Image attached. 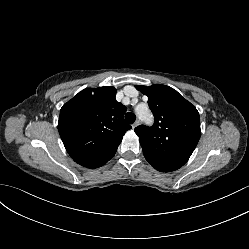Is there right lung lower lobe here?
<instances>
[{
    "mask_svg": "<svg viewBox=\"0 0 249 249\" xmlns=\"http://www.w3.org/2000/svg\"><path fill=\"white\" fill-rule=\"evenodd\" d=\"M114 154H111V155H108V156L103 157L101 159L90 161V162H87V163H84L81 165L84 167H87V168H98V167L104 165L107 161H109L114 156Z\"/></svg>",
    "mask_w": 249,
    "mask_h": 249,
    "instance_id": "obj_1",
    "label": "right lung lower lobe"
}]
</instances>
